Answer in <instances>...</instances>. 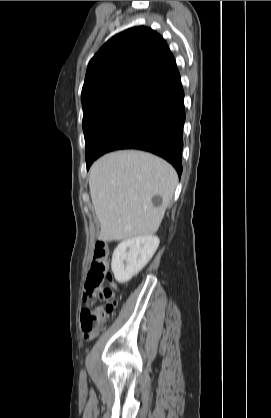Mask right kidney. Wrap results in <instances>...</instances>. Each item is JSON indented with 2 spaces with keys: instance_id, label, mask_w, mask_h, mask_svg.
I'll use <instances>...</instances> for the list:
<instances>
[{
  "instance_id": "obj_1",
  "label": "right kidney",
  "mask_w": 271,
  "mask_h": 418,
  "mask_svg": "<svg viewBox=\"0 0 271 418\" xmlns=\"http://www.w3.org/2000/svg\"><path fill=\"white\" fill-rule=\"evenodd\" d=\"M157 236H141L122 241L114 250L111 269L119 283L128 282L141 271L159 246Z\"/></svg>"
}]
</instances>
